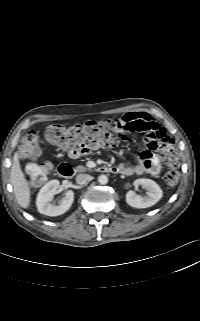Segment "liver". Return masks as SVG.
I'll list each match as a JSON object with an SVG mask.
<instances>
[{
	"instance_id": "1",
	"label": "liver",
	"mask_w": 200,
	"mask_h": 321,
	"mask_svg": "<svg viewBox=\"0 0 200 321\" xmlns=\"http://www.w3.org/2000/svg\"><path fill=\"white\" fill-rule=\"evenodd\" d=\"M10 182L13 186L17 203L22 208L27 209L31 201L30 188L21 170L18 153H15L13 156L10 173Z\"/></svg>"
}]
</instances>
